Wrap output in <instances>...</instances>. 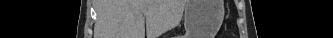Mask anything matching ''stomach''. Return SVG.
Masks as SVG:
<instances>
[{"label":"stomach","instance_id":"stomach-1","mask_svg":"<svg viewBox=\"0 0 333 38\" xmlns=\"http://www.w3.org/2000/svg\"><path fill=\"white\" fill-rule=\"evenodd\" d=\"M187 21L190 22V15L187 16Z\"/></svg>","mask_w":333,"mask_h":38}]
</instances>
